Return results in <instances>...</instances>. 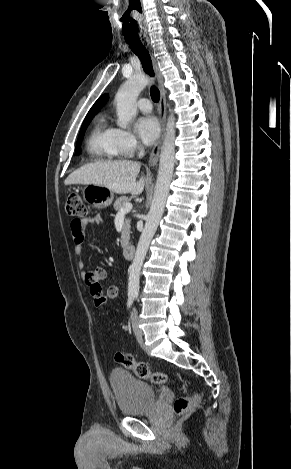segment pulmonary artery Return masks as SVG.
Segmentation results:
<instances>
[{
  "instance_id": "e3ab8cb5",
  "label": "pulmonary artery",
  "mask_w": 291,
  "mask_h": 469,
  "mask_svg": "<svg viewBox=\"0 0 291 469\" xmlns=\"http://www.w3.org/2000/svg\"><path fill=\"white\" fill-rule=\"evenodd\" d=\"M137 106L143 112H150L152 109L151 102L147 98H140L137 102Z\"/></svg>"
}]
</instances>
